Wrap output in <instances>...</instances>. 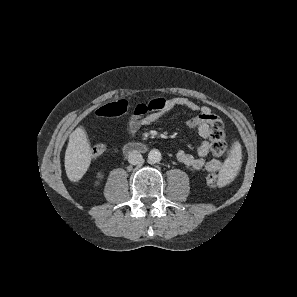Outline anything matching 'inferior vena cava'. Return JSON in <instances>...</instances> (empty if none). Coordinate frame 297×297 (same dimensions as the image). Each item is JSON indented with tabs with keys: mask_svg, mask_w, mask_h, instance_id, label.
Masks as SVG:
<instances>
[{
	"mask_svg": "<svg viewBox=\"0 0 297 297\" xmlns=\"http://www.w3.org/2000/svg\"><path fill=\"white\" fill-rule=\"evenodd\" d=\"M143 161L141 153L137 150H133L128 154V162L132 165L140 164Z\"/></svg>",
	"mask_w": 297,
	"mask_h": 297,
	"instance_id": "602c4592",
	"label": "inferior vena cava"
}]
</instances>
